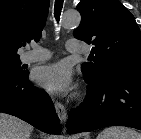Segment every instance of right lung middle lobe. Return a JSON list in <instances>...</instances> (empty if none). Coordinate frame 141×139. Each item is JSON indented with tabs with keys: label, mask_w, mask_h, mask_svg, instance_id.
Listing matches in <instances>:
<instances>
[{
	"label": "right lung middle lobe",
	"mask_w": 141,
	"mask_h": 139,
	"mask_svg": "<svg viewBox=\"0 0 141 139\" xmlns=\"http://www.w3.org/2000/svg\"><path fill=\"white\" fill-rule=\"evenodd\" d=\"M19 56H0V79H11L25 75Z\"/></svg>",
	"instance_id": "dd1d6c3e"
}]
</instances>
